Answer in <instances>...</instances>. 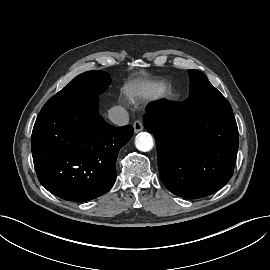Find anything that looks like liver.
<instances>
[{
  "instance_id": "1",
  "label": "liver",
  "mask_w": 270,
  "mask_h": 270,
  "mask_svg": "<svg viewBox=\"0 0 270 270\" xmlns=\"http://www.w3.org/2000/svg\"><path fill=\"white\" fill-rule=\"evenodd\" d=\"M152 83L148 80H134L129 82L123 87V90L126 94H132L134 91L137 90H145L151 87Z\"/></svg>"
}]
</instances>
